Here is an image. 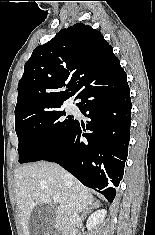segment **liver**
Here are the masks:
<instances>
[{
  "instance_id": "obj_1",
  "label": "liver",
  "mask_w": 155,
  "mask_h": 235,
  "mask_svg": "<svg viewBox=\"0 0 155 235\" xmlns=\"http://www.w3.org/2000/svg\"><path fill=\"white\" fill-rule=\"evenodd\" d=\"M14 182L23 235H30L33 209L38 204L51 205L55 195L60 198L56 217L64 223L69 222L73 212L80 213L94 202L89 189L55 163L42 161L20 166L14 172Z\"/></svg>"
}]
</instances>
